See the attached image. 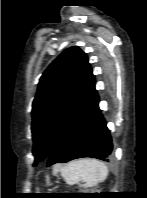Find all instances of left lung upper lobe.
I'll use <instances>...</instances> for the list:
<instances>
[{
    "instance_id": "5c2ea615",
    "label": "left lung upper lobe",
    "mask_w": 147,
    "mask_h": 198,
    "mask_svg": "<svg viewBox=\"0 0 147 198\" xmlns=\"http://www.w3.org/2000/svg\"><path fill=\"white\" fill-rule=\"evenodd\" d=\"M94 87L95 78L88 58L78 47L63 51L45 70L32 105L34 165L48 159Z\"/></svg>"
}]
</instances>
